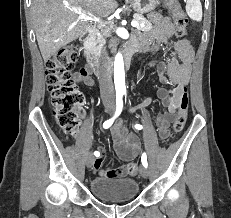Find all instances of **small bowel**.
I'll return each mask as SVG.
<instances>
[{"label": "small bowel", "mask_w": 231, "mask_h": 218, "mask_svg": "<svg viewBox=\"0 0 231 218\" xmlns=\"http://www.w3.org/2000/svg\"><path fill=\"white\" fill-rule=\"evenodd\" d=\"M150 19L156 26L152 31L143 34L134 41L132 48H134L136 52L159 50L169 42L173 35L174 27L169 17H164L159 13H151ZM171 52V58L167 62L154 60L149 64L150 68H156L162 83L172 85L171 88H160L156 94L167 108L165 113L159 114L156 118L159 137L162 140L169 136L171 118L177 112L181 93L189 82L191 65L194 59L193 48L187 39L172 42ZM177 56H179L180 61H178ZM85 66L87 67L88 65L86 64ZM74 79L76 82L86 86H92L94 84L92 72L88 68L81 69L75 74ZM153 99L154 96L147 97L136 106L130 107L128 111L132 113L145 108L152 103ZM111 132L114 149L121 159L129 161L137 157L140 149L139 142L126 133L120 122L112 127ZM98 149L99 155L92 164L94 171L100 170L102 176H126L127 166L125 165L101 169L105 158V149L102 145H99Z\"/></svg>", "instance_id": "1"}]
</instances>
